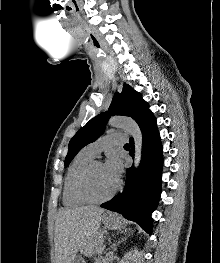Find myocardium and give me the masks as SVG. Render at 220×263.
<instances>
[{"label":"myocardium","instance_id":"f54148a6","mask_svg":"<svg viewBox=\"0 0 220 263\" xmlns=\"http://www.w3.org/2000/svg\"><path fill=\"white\" fill-rule=\"evenodd\" d=\"M101 163L102 162L99 160H92L82 169L76 180L75 189L77 195L90 203L105 202L111 199L120 188V182L117 181L115 187L105 196L97 197L91 193V191L88 188V179L94 167Z\"/></svg>","mask_w":220,"mask_h":263}]
</instances>
